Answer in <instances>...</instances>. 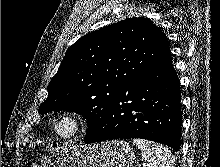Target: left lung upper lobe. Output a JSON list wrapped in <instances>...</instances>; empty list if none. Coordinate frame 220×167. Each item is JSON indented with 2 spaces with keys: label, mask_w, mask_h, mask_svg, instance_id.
<instances>
[{
  "label": "left lung upper lobe",
  "mask_w": 220,
  "mask_h": 167,
  "mask_svg": "<svg viewBox=\"0 0 220 167\" xmlns=\"http://www.w3.org/2000/svg\"><path fill=\"white\" fill-rule=\"evenodd\" d=\"M168 40L147 18H128L81 37L66 52L39 111L76 112L94 136L117 92L170 56Z\"/></svg>",
  "instance_id": "left-lung-upper-lobe-1"
}]
</instances>
